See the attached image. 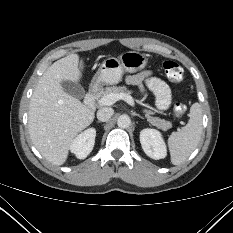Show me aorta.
Masks as SVG:
<instances>
[{"label":"aorta","mask_w":233,"mask_h":233,"mask_svg":"<svg viewBox=\"0 0 233 233\" xmlns=\"http://www.w3.org/2000/svg\"><path fill=\"white\" fill-rule=\"evenodd\" d=\"M131 119L128 115H121L117 120V125L120 128H127L130 126Z\"/></svg>","instance_id":"1"}]
</instances>
